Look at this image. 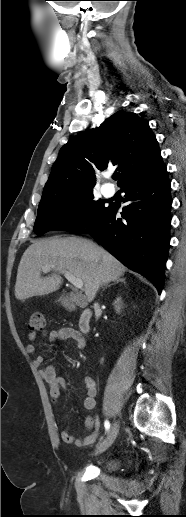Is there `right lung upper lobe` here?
Returning <instances> with one entry per match:
<instances>
[{"mask_svg": "<svg viewBox=\"0 0 186 517\" xmlns=\"http://www.w3.org/2000/svg\"><path fill=\"white\" fill-rule=\"evenodd\" d=\"M108 163L118 165L120 186L162 163L158 142L146 119L120 110L96 130L89 129L69 140L60 149L41 201L93 190L94 169L102 171Z\"/></svg>", "mask_w": 186, "mask_h": 517, "instance_id": "obj_1", "label": "right lung upper lobe"}]
</instances>
